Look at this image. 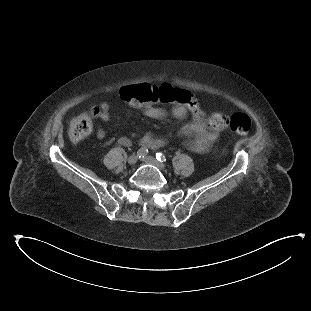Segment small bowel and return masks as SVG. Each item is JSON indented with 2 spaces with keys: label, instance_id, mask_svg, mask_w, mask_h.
<instances>
[{
  "label": "small bowel",
  "instance_id": "c3829d8e",
  "mask_svg": "<svg viewBox=\"0 0 311 311\" xmlns=\"http://www.w3.org/2000/svg\"><path fill=\"white\" fill-rule=\"evenodd\" d=\"M109 109L110 106L108 104L103 105L102 111L99 115L102 122H108L110 120ZM143 112L146 117L154 120L164 119L169 114L167 110L151 104L144 105ZM170 114L173 117L182 120L186 118L187 110L185 107L177 105L171 109ZM180 135L186 138L185 145L188 149L199 154L206 153L209 150L210 145L217 139V134L215 132L207 131L205 126L197 121L184 126L180 131ZM103 137L104 132L102 129H99L98 138L103 139ZM140 142L141 145L147 148H157L164 143L162 139L156 138L151 133L143 135ZM120 143L128 146L130 140L126 137H122Z\"/></svg>",
  "mask_w": 311,
  "mask_h": 311
}]
</instances>
